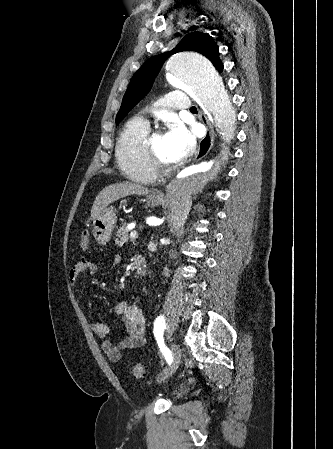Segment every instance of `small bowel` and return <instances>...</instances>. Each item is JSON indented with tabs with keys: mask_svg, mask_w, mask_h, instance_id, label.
Instances as JSON below:
<instances>
[{
	"mask_svg": "<svg viewBox=\"0 0 333 449\" xmlns=\"http://www.w3.org/2000/svg\"><path fill=\"white\" fill-rule=\"evenodd\" d=\"M87 271L96 273L97 266L91 260L80 259L69 271L71 284L75 286L80 277ZM114 309L115 313L123 318L126 323V335L118 343L114 344L107 338L110 332L107 324L94 322L91 328L96 336L103 339L101 344L103 352L111 361L116 362L120 360L124 351L138 348L145 343L146 318L136 305L127 301L117 302Z\"/></svg>",
	"mask_w": 333,
	"mask_h": 449,
	"instance_id": "1",
	"label": "small bowel"
}]
</instances>
